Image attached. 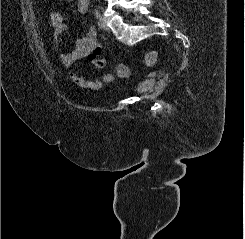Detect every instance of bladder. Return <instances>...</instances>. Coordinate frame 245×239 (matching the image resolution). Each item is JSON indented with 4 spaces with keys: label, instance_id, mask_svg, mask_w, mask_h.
Here are the masks:
<instances>
[{
    "label": "bladder",
    "instance_id": "bladder-1",
    "mask_svg": "<svg viewBox=\"0 0 245 239\" xmlns=\"http://www.w3.org/2000/svg\"><path fill=\"white\" fill-rule=\"evenodd\" d=\"M154 87V82L153 81H139L138 83H136L133 88H132V91H131V94H135V95H138V94H142V93H145L147 91H149L151 88Z\"/></svg>",
    "mask_w": 245,
    "mask_h": 239
}]
</instances>
